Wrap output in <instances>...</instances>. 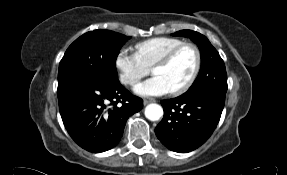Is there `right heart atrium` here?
Wrapping results in <instances>:
<instances>
[{"label":"right heart atrium","instance_id":"1","mask_svg":"<svg viewBox=\"0 0 287 175\" xmlns=\"http://www.w3.org/2000/svg\"><path fill=\"white\" fill-rule=\"evenodd\" d=\"M115 65L119 72L120 81L128 86H134L150 72V68L141 60L139 55L126 48L118 52Z\"/></svg>","mask_w":287,"mask_h":175}]
</instances>
